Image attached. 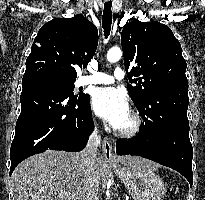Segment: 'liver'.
I'll use <instances>...</instances> for the list:
<instances>
[{
	"label": "liver",
	"instance_id": "liver-1",
	"mask_svg": "<svg viewBox=\"0 0 205 200\" xmlns=\"http://www.w3.org/2000/svg\"><path fill=\"white\" fill-rule=\"evenodd\" d=\"M119 160L129 166L156 167L155 163L137 156H120ZM102 173L103 160L97 156L94 174L98 181ZM11 181L15 200H82L81 153L46 151L33 155L15 168Z\"/></svg>",
	"mask_w": 205,
	"mask_h": 200
}]
</instances>
